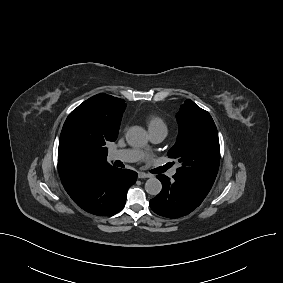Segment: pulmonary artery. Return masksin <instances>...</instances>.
I'll list each match as a JSON object with an SVG mask.
<instances>
[{
    "mask_svg": "<svg viewBox=\"0 0 283 283\" xmlns=\"http://www.w3.org/2000/svg\"><path fill=\"white\" fill-rule=\"evenodd\" d=\"M150 137L154 143H159L167 135V131L164 129L151 130ZM142 152L137 149H123V150H114L110 152L109 159L110 160H120L122 162H136L142 158ZM176 174V169L171 170L170 176H174Z\"/></svg>",
    "mask_w": 283,
    "mask_h": 283,
    "instance_id": "obj_1",
    "label": "pulmonary artery"
}]
</instances>
